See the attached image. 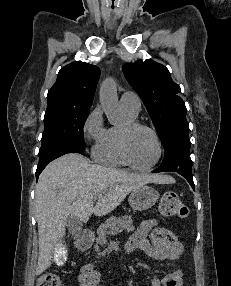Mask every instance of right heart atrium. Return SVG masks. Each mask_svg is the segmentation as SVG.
<instances>
[{
  "mask_svg": "<svg viewBox=\"0 0 231 286\" xmlns=\"http://www.w3.org/2000/svg\"><path fill=\"white\" fill-rule=\"evenodd\" d=\"M106 130L102 109L97 106L89 113L83 124L82 134L84 142L94 151L103 140Z\"/></svg>",
  "mask_w": 231,
  "mask_h": 286,
  "instance_id": "d8ad5b80",
  "label": "right heart atrium"
}]
</instances>
